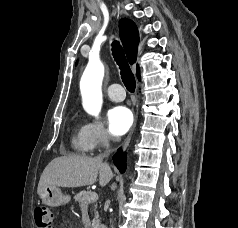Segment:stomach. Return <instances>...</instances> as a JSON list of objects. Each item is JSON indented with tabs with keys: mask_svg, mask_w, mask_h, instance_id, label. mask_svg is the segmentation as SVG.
<instances>
[{
	"mask_svg": "<svg viewBox=\"0 0 238 228\" xmlns=\"http://www.w3.org/2000/svg\"><path fill=\"white\" fill-rule=\"evenodd\" d=\"M40 197L46 205L51 207H57L66 204L71 200L69 195H64L62 191L55 186L45 187Z\"/></svg>",
	"mask_w": 238,
	"mask_h": 228,
	"instance_id": "1",
	"label": "stomach"
}]
</instances>
